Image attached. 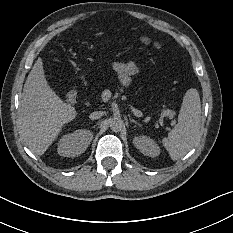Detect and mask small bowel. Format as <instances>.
Listing matches in <instances>:
<instances>
[{
	"mask_svg": "<svg viewBox=\"0 0 233 233\" xmlns=\"http://www.w3.org/2000/svg\"><path fill=\"white\" fill-rule=\"evenodd\" d=\"M113 69L119 76L121 84L128 88L131 85L132 78L139 74V68L135 62H115Z\"/></svg>",
	"mask_w": 233,
	"mask_h": 233,
	"instance_id": "obj_1",
	"label": "small bowel"
}]
</instances>
